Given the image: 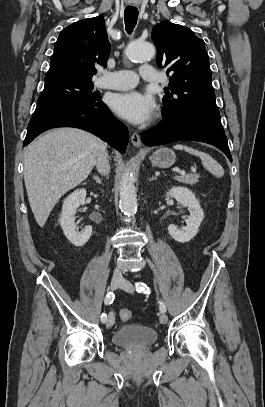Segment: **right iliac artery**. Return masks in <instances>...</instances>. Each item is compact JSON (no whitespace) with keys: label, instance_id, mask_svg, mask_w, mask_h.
I'll use <instances>...</instances> for the list:
<instances>
[{"label":"right iliac artery","instance_id":"obj_1","mask_svg":"<svg viewBox=\"0 0 265 407\" xmlns=\"http://www.w3.org/2000/svg\"><path fill=\"white\" fill-rule=\"evenodd\" d=\"M115 295L113 292H109L107 293L105 299H104V303L105 305H110L113 301H114ZM107 320V315L105 313H102L101 315V322L105 323Z\"/></svg>","mask_w":265,"mask_h":407}]
</instances>
